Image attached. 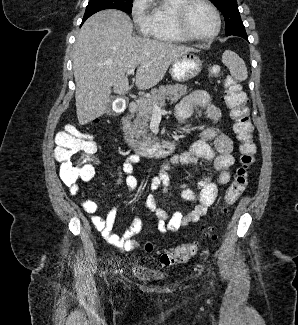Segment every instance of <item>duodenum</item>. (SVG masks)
Listing matches in <instances>:
<instances>
[{
	"instance_id": "obj_1",
	"label": "duodenum",
	"mask_w": 298,
	"mask_h": 325,
	"mask_svg": "<svg viewBox=\"0 0 298 325\" xmlns=\"http://www.w3.org/2000/svg\"><path fill=\"white\" fill-rule=\"evenodd\" d=\"M138 105L130 102L128 105V114L123 116L120 121V130L122 132L125 143L136 153L149 156H162L171 153L174 149V143L171 141L158 142H139L134 139L130 132V117L136 113Z\"/></svg>"
}]
</instances>
